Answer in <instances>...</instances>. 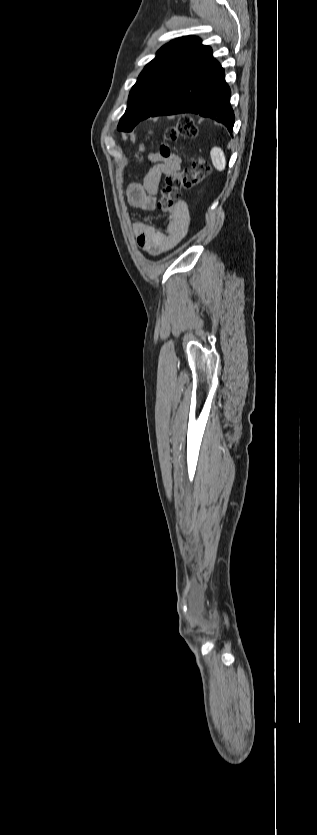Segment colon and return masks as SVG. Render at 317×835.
Masks as SVG:
<instances>
[{
    "instance_id": "1",
    "label": "colon",
    "mask_w": 317,
    "mask_h": 835,
    "mask_svg": "<svg viewBox=\"0 0 317 835\" xmlns=\"http://www.w3.org/2000/svg\"><path fill=\"white\" fill-rule=\"evenodd\" d=\"M197 134V127L191 117L180 118L176 126L167 129L164 133V142L159 147L160 155L164 158L170 157L171 143L180 138H194ZM210 173L211 167L208 161L200 156H195L192 158L189 168L166 175L158 203L161 212L170 214L179 204L182 190L192 188L208 177Z\"/></svg>"
}]
</instances>
